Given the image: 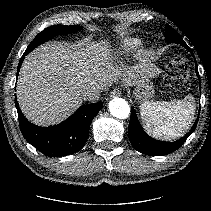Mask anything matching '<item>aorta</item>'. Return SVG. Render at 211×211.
<instances>
[{
	"instance_id": "aorta-1",
	"label": "aorta",
	"mask_w": 211,
	"mask_h": 211,
	"mask_svg": "<svg viewBox=\"0 0 211 211\" xmlns=\"http://www.w3.org/2000/svg\"><path fill=\"white\" fill-rule=\"evenodd\" d=\"M110 113L119 119H126L130 114V107L127 101L123 98H114L109 101Z\"/></svg>"
}]
</instances>
